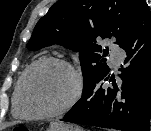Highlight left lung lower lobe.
I'll use <instances>...</instances> for the list:
<instances>
[{
    "mask_svg": "<svg viewBox=\"0 0 151 131\" xmlns=\"http://www.w3.org/2000/svg\"><path fill=\"white\" fill-rule=\"evenodd\" d=\"M130 61L113 75L96 79L63 121L121 131H149L151 117V12L141 4L133 28L122 47ZM112 82L107 87L106 82Z\"/></svg>",
    "mask_w": 151,
    "mask_h": 131,
    "instance_id": "0a47b994",
    "label": "left lung lower lobe"
}]
</instances>
